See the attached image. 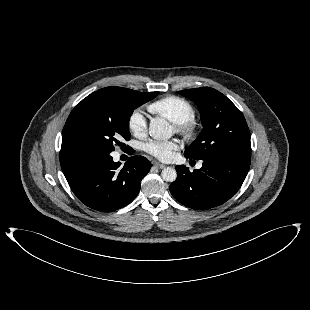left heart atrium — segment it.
I'll list each match as a JSON object with an SVG mask.
<instances>
[{
	"label": "left heart atrium",
	"instance_id": "left-heart-atrium-1",
	"mask_svg": "<svg viewBox=\"0 0 310 310\" xmlns=\"http://www.w3.org/2000/svg\"><path fill=\"white\" fill-rule=\"evenodd\" d=\"M178 148L174 140H150L144 145L145 152L162 161L171 160Z\"/></svg>",
	"mask_w": 310,
	"mask_h": 310
}]
</instances>
